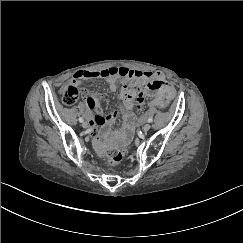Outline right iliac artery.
Instances as JSON below:
<instances>
[{"mask_svg": "<svg viewBox=\"0 0 243 243\" xmlns=\"http://www.w3.org/2000/svg\"><path fill=\"white\" fill-rule=\"evenodd\" d=\"M79 122H83V118L82 117L79 118Z\"/></svg>", "mask_w": 243, "mask_h": 243, "instance_id": "obj_1", "label": "right iliac artery"}]
</instances>
